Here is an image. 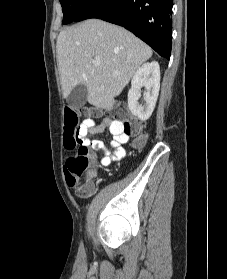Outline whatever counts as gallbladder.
I'll return each mask as SVG.
<instances>
[{
  "mask_svg": "<svg viewBox=\"0 0 227 279\" xmlns=\"http://www.w3.org/2000/svg\"><path fill=\"white\" fill-rule=\"evenodd\" d=\"M87 100V87L84 84H78L72 89L67 97L68 106L72 109L81 108Z\"/></svg>",
  "mask_w": 227,
  "mask_h": 279,
  "instance_id": "gallbladder-1",
  "label": "gallbladder"
}]
</instances>
